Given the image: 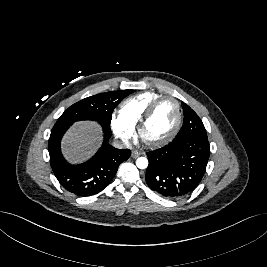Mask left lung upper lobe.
Wrapping results in <instances>:
<instances>
[{"mask_svg": "<svg viewBox=\"0 0 267 267\" xmlns=\"http://www.w3.org/2000/svg\"><path fill=\"white\" fill-rule=\"evenodd\" d=\"M184 121L183 126L174 140H180L188 137L207 138L205 127L199 116L185 103H182Z\"/></svg>", "mask_w": 267, "mask_h": 267, "instance_id": "1", "label": "left lung upper lobe"}]
</instances>
